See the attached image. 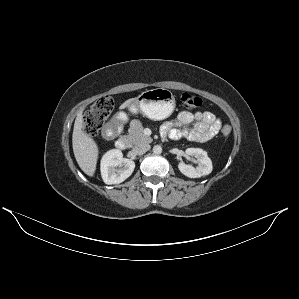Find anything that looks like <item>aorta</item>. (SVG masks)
Here are the masks:
<instances>
[{"instance_id": "762f6f07", "label": "aorta", "mask_w": 299, "mask_h": 299, "mask_svg": "<svg viewBox=\"0 0 299 299\" xmlns=\"http://www.w3.org/2000/svg\"><path fill=\"white\" fill-rule=\"evenodd\" d=\"M153 153L154 154H161L162 153V147L160 145H155L153 147Z\"/></svg>"}]
</instances>
